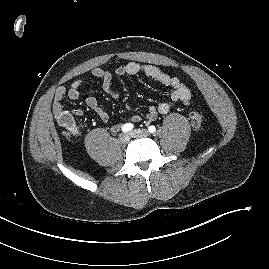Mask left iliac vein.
Instances as JSON below:
<instances>
[{
	"label": "left iliac vein",
	"mask_w": 269,
	"mask_h": 269,
	"mask_svg": "<svg viewBox=\"0 0 269 269\" xmlns=\"http://www.w3.org/2000/svg\"><path fill=\"white\" fill-rule=\"evenodd\" d=\"M130 135L134 138L149 137V132L146 129H135L131 131Z\"/></svg>",
	"instance_id": "1"
}]
</instances>
